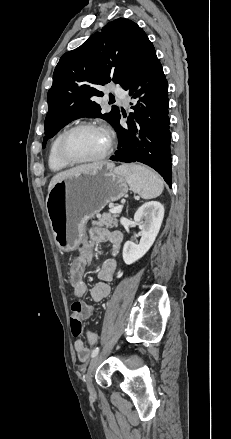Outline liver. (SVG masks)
Listing matches in <instances>:
<instances>
[{"label":"liver","instance_id":"6515ba94","mask_svg":"<svg viewBox=\"0 0 231 439\" xmlns=\"http://www.w3.org/2000/svg\"><path fill=\"white\" fill-rule=\"evenodd\" d=\"M100 163H91V164H85V165H80L62 172L57 173L56 175L53 176V178L51 179L49 186H48V193L50 192V190L54 187V185L72 175H76L78 173H82L85 171H88L94 167H96L97 165H99Z\"/></svg>","mask_w":231,"mask_h":439}]
</instances>
